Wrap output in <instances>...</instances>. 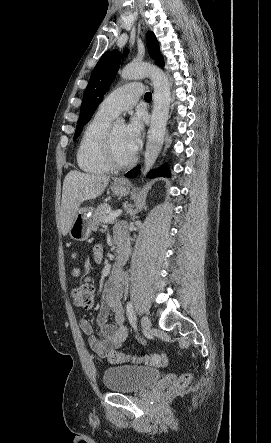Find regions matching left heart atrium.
<instances>
[{
  "instance_id": "1",
  "label": "left heart atrium",
  "mask_w": 271,
  "mask_h": 443,
  "mask_svg": "<svg viewBox=\"0 0 271 443\" xmlns=\"http://www.w3.org/2000/svg\"><path fill=\"white\" fill-rule=\"evenodd\" d=\"M145 121L144 113L137 112L130 117L125 126V144L132 154H135L142 145Z\"/></svg>"
}]
</instances>
